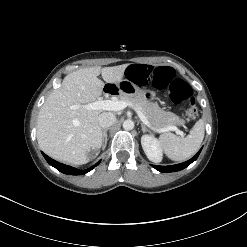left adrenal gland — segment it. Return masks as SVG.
Segmentation results:
<instances>
[{"label":"left adrenal gland","instance_id":"a2214340","mask_svg":"<svg viewBox=\"0 0 247 247\" xmlns=\"http://www.w3.org/2000/svg\"><path fill=\"white\" fill-rule=\"evenodd\" d=\"M141 127H142L143 132H146V131L151 132V130L147 128L143 123H141Z\"/></svg>","mask_w":247,"mask_h":247}]
</instances>
